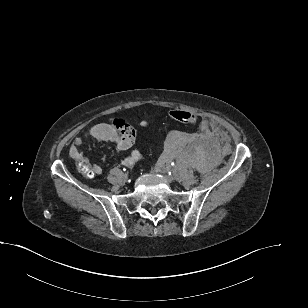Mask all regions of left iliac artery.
Masks as SVG:
<instances>
[{
	"label": "left iliac artery",
	"mask_w": 308,
	"mask_h": 308,
	"mask_svg": "<svg viewBox=\"0 0 308 308\" xmlns=\"http://www.w3.org/2000/svg\"><path fill=\"white\" fill-rule=\"evenodd\" d=\"M171 165H172V166H175V164H174L173 162L171 163ZM167 168H168V167H167ZM168 174L171 175V174H172L171 171L168 170Z\"/></svg>",
	"instance_id": "1"
}]
</instances>
